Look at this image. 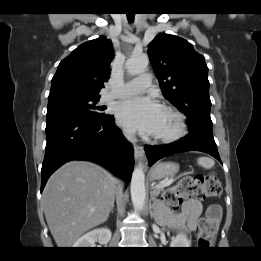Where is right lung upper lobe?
Wrapping results in <instances>:
<instances>
[{"instance_id": "right-lung-upper-lobe-1", "label": "right lung upper lobe", "mask_w": 261, "mask_h": 261, "mask_svg": "<svg viewBox=\"0 0 261 261\" xmlns=\"http://www.w3.org/2000/svg\"><path fill=\"white\" fill-rule=\"evenodd\" d=\"M113 57L112 42L105 36L81 44L58 65L49 97L58 93L100 97V89L109 79Z\"/></svg>"}]
</instances>
